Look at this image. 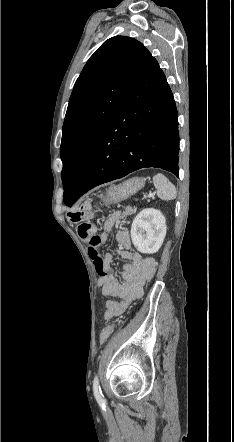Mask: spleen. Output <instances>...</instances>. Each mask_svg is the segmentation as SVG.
<instances>
[{
	"instance_id": "3e777b00",
	"label": "spleen",
	"mask_w": 234,
	"mask_h": 442,
	"mask_svg": "<svg viewBox=\"0 0 234 442\" xmlns=\"http://www.w3.org/2000/svg\"><path fill=\"white\" fill-rule=\"evenodd\" d=\"M153 183L160 199L173 200L176 198V187L162 173H157L153 177Z\"/></svg>"
}]
</instances>
